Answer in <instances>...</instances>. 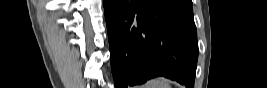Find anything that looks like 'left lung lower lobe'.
<instances>
[{
	"label": "left lung lower lobe",
	"mask_w": 267,
	"mask_h": 88,
	"mask_svg": "<svg viewBox=\"0 0 267 88\" xmlns=\"http://www.w3.org/2000/svg\"><path fill=\"white\" fill-rule=\"evenodd\" d=\"M115 88L165 76L194 87L198 57L192 5L179 0H103Z\"/></svg>",
	"instance_id": "left-lung-lower-lobe-1"
}]
</instances>
